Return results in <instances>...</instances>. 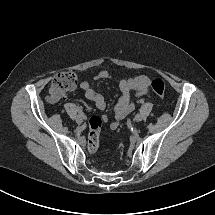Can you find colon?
I'll return each mask as SVG.
<instances>
[{
    "instance_id": "colon-1",
    "label": "colon",
    "mask_w": 215,
    "mask_h": 215,
    "mask_svg": "<svg viewBox=\"0 0 215 215\" xmlns=\"http://www.w3.org/2000/svg\"><path fill=\"white\" fill-rule=\"evenodd\" d=\"M78 85L77 75L71 71L60 72L52 80L47 100L50 103L59 102L66 93L73 91ZM154 93L163 98L165 96V84L162 80L156 79L151 83ZM102 126L100 117H91L88 121L89 136L88 150L94 154L99 148V133Z\"/></svg>"
}]
</instances>
